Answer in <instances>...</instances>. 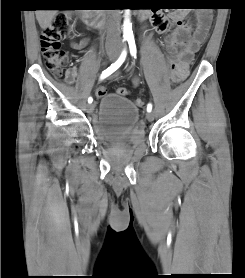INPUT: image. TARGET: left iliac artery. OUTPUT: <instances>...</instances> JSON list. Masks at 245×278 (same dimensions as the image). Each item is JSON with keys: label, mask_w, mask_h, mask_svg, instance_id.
<instances>
[{"label": "left iliac artery", "mask_w": 245, "mask_h": 278, "mask_svg": "<svg viewBox=\"0 0 245 278\" xmlns=\"http://www.w3.org/2000/svg\"><path fill=\"white\" fill-rule=\"evenodd\" d=\"M128 43H129V48H130V53L133 57L136 58V45H135V40H134V37L133 36H130L128 39H127ZM152 110V104L149 103L147 105V111L150 112Z\"/></svg>", "instance_id": "left-iliac-artery-1"}]
</instances>
